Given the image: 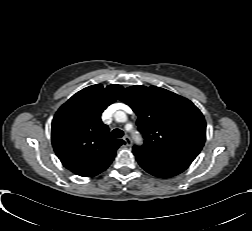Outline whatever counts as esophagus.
<instances>
[{"mask_svg": "<svg viewBox=\"0 0 252 231\" xmlns=\"http://www.w3.org/2000/svg\"><path fill=\"white\" fill-rule=\"evenodd\" d=\"M123 140L126 142L127 146H130L132 144V140H131V138L128 135H125L123 137Z\"/></svg>", "mask_w": 252, "mask_h": 231, "instance_id": "obj_1", "label": "esophagus"}]
</instances>
